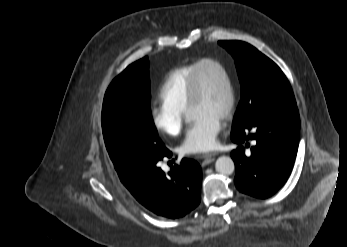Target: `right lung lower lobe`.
I'll return each instance as SVG.
<instances>
[{
	"instance_id": "obj_1",
	"label": "right lung lower lobe",
	"mask_w": 347,
	"mask_h": 247,
	"mask_svg": "<svg viewBox=\"0 0 347 247\" xmlns=\"http://www.w3.org/2000/svg\"><path fill=\"white\" fill-rule=\"evenodd\" d=\"M170 156L171 152L165 148L162 155L139 156L116 170L122 183L143 206L157 215L175 219L200 203L202 172L196 161L182 159L166 174L157 167V162Z\"/></svg>"
}]
</instances>
